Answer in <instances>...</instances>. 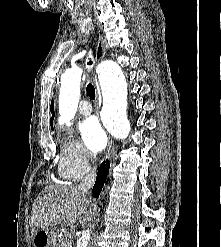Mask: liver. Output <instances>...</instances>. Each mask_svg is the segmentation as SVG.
<instances>
[{
  "label": "liver",
  "mask_w": 221,
  "mask_h": 247,
  "mask_svg": "<svg viewBox=\"0 0 221 247\" xmlns=\"http://www.w3.org/2000/svg\"><path fill=\"white\" fill-rule=\"evenodd\" d=\"M90 205L77 187L49 185L36 198L31 215V235L64 222L73 226Z\"/></svg>",
  "instance_id": "liver-1"
}]
</instances>
